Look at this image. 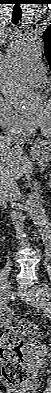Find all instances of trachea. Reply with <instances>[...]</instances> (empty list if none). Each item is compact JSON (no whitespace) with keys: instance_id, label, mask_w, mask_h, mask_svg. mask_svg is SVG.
<instances>
[{"instance_id":"obj_1","label":"trachea","mask_w":51,"mask_h":393,"mask_svg":"<svg viewBox=\"0 0 51 393\" xmlns=\"http://www.w3.org/2000/svg\"><path fill=\"white\" fill-rule=\"evenodd\" d=\"M21 19V14H12V23L17 24Z\"/></svg>"}]
</instances>
